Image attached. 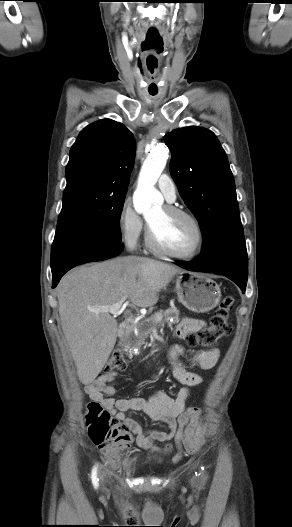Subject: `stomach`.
Listing matches in <instances>:
<instances>
[{"label":"stomach","instance_id":"1","mask_svg":"<svg viewBox=\"0 0 292 527\" xmlns=\"http://www.w3.org/2000/svg\"><path fill=\"white\" fill-rule=\"evenodd\" d=\"M175 291L179 302L195 313L209 312L221 298L220 288L213 279L194 272H180Z\"/></svg>","mask_w":292,"mask_h":527}]
</instances>
